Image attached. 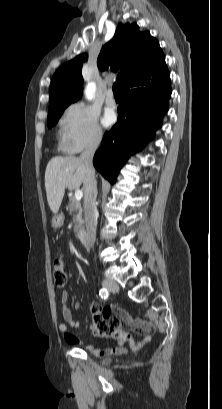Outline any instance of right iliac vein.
I'll return each mask as SVG.
<instances>
[{"mask_svg":"<svg viewBox=\"0 0 222 409\" xmlns=\"http://www.w3.org/2000/svg\"><path fill=\"white\" fill-rule=\"evenodd\" d=\"M102 285L109 291H112V292L119 291V285L112 280L105 279L103 280Z\"/></svg>","mask_w":222,"mask_h":409,"instance_id":"right-iliac-vein-1","label":"right iliac vein"}]
</instances>
